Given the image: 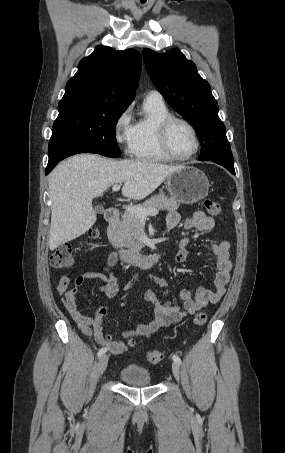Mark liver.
<instances>
[{"label":"liver","mask_w":285,"mask_h":453,"mask_svg":"<svg viewBox=\"0 0 285 453\" xmlns=\"http://www.w3.org/2000/svg\"><path fill=\"white\" fill-rule=\"evenodd\" d=\"M182 166L149 160H115L79 154L62 161L48 178L51 199L49 247L53 251L88 231L96 222L92 200L124 183L122 195L141 200Z\"/></svg>","instance_id":"1"}]
</instances>
